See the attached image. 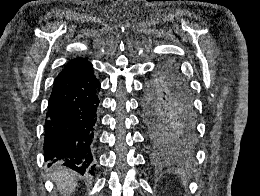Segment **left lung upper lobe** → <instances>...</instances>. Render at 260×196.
Masks as SVG:
<instances>
[{"instance_id": "5c2ea615", "label": "left lung upper lobe", "mask_w": 260, "mask_h": 196, "mask_svg": "<svg viewBox=\"0 0 260 196\" xmlns=\"http://www.w3.org/2000/svg\"><path fill=\"white\" fill-rule=\"evenodd\" d=\"M147 141L158 152L185 149L198 137L197 117L185 78L174 62L147 80L142 100Z\"/></svg>"}]
</instances>
